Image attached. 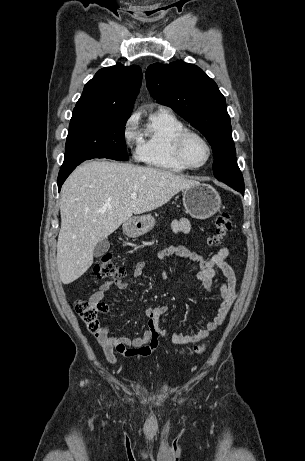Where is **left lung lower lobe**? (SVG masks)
Listing matches in <instances>:
<instances>
[{
	"instance_id": "1",
	"label": "left lung lower lobe",
	"mask_w": 305,
	"mask_h": 461,
	"mask_svg": "<svg viewBox=\"0 0 305 461\" xmlns=\"http://www.w3.org/2000/svg\"><path fill=\"white\" fill-rule=\"evenodd\" d=\"M240 192H241L242 194H244V189H242Z\"/></svg>"
}]
</instances>
